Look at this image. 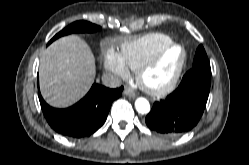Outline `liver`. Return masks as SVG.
I'll list each match as a JSON object with an SVG mask.
<instances>
[{
	"mask_svg": "<svg viewBox=\"0 0 249 165\" xmlns=\"http://www.w3.org/2000/svg\"><path fill=\"white\" fill-rule=\"evenodd\" d=\"M95 74V59L88 44L76 35L60 38L41 58L42 96L53 107H68L89 91Z\"/></svg>",
	"mask_w": 249,
	"mask_h": 165,
	"instance_id": "1",
	"label": "liver"
}]
</instances>
